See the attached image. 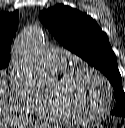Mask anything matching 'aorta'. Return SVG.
I'll return each mask as SVG.
<instances>
[{
  "label": "aorta",
  "instance_id": "obj_1",
  "mask_svg": "<svg viewBox=\"0 0 125 128\" xmlns=\"http://www.w3.org/2000/svg\"><path fill=\"white\" fill-rule=\"evenodd\" d=\"M43 42L44 33L40 28H27L14 42V59L38 88L48 89L54 80L41 55Z\"/></svg>",
  "mask_w": 125,
  "mask_h": 128
}]
</instances>
